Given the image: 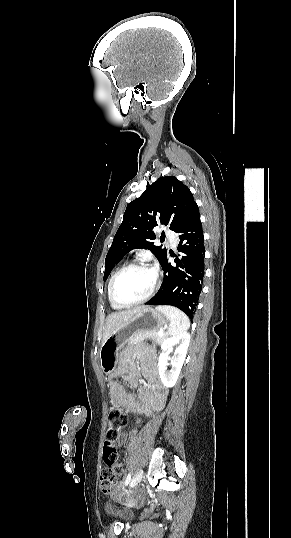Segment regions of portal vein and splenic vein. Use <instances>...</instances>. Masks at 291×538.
<instances>
[{
  "instance_id": "portal-vein-and-splenic-vein-1",
  "label": "portal vein and splenic vein",
  "mask_w": 291,
  "mask_h": 538,
  "mask_svg": "<svg viewBox=\"0 0 291 538\" xmlns=\"http://www.w3.org/2000/svg\"><path fill=\"white\" fill-rule=\"evenodd\" d=\"M158 334H159V335H163L164 333H163V331H159Z\"/></svg>"
}]
</instances>
